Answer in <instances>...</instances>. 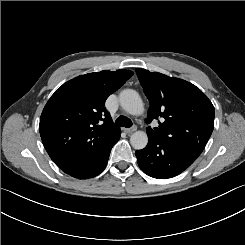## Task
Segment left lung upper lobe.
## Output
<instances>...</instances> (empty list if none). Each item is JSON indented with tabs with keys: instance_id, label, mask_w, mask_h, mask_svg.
Masks as SVG:
<instances>
[{
	"instance_id": "obj_1",
	"label": "left lung upper lobe",
	"mask_w": 245,
	"mask_h": 245,
	"mask_svg": "<svg viewBox=\"0 0 245 245\" xmlns=\"http://www.w3.org/2000/svg\"><path fill=\"white\" fill-rule=\"evenodd\" d=\"M136 73L150 102L145 121L155 119L159 123L157 128L148 127L147 135L198 157L214 128L215 109L211 101L185 80L140 68Z\"/></svg>"
}]
</instances>
